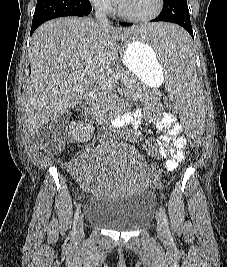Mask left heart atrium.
Returning a JSON list of instances; mask_svg holds the SVG:
<instances>
[{
  "mask_svg": "<svg viewBox=\"0 0 227 267\" xmlns=\"http://www.w3.org/2000/svg\"><path fill=\"white\" fill-rule=\"evenodd\" d=\"M119 4L123 1V0H116Z\"/></svg>",
  "mask_w": 227,
  "mask_h": 267,
  "instance_id": "obj_1",
  "label": "left heart atrium"
}]
</instances>
